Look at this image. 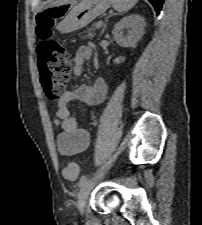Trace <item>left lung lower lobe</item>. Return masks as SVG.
<instances>
[{"instance_id":"1","label":"left lung lower lobe","mask_w":202,"mask_h":225,"mask_svg":"<svg viewBox=\"0 0 202 225\" xmlns=\"http://www.w3.org/2000/svg\"><path fill=\"white\" fill-rule=\"evenodd\" d=\"M149 2L152 3L157 14H159L164 0H149Z\"/></svg>"}]
</instances>
